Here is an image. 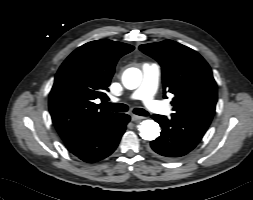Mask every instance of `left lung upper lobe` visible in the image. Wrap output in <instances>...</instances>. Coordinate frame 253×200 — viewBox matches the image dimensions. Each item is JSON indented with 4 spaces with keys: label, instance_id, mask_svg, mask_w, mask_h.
<instances>
[{
    "label": "left lung upper lobe",
    "instance_id": "5c2ea615",
    "mask_svg": "<svg viewBox=\"0 0 253 200\" xmlns=\"http://www.w3.org/2000/svg\"><path fill=\"white\" fill-rule=\"evenodd\" d=\"M139 48L161 65L164 93L174 94V114L209 126L215 112L217 87L207 62L196 51L172 40Z\"/></svg>",
    "mask_w": 253,
    "mask_h": 200
}]
</instances>
